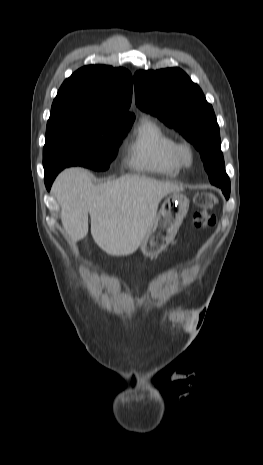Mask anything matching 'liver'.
I'll return each mask as SVG.
<instances>
[{"instance_id":"liver-1","label":"liver","mask_w":263,"mask_h":465,"mask_svg":"<svg viewBox=\"0 0 263 465\" xmlns=\"http://www.w3.org/2000/svg\"><path fill=\"white\" fill-rule=\"evenodd\" d=\"M183 186L140 175H125L100 185L85 169H66L56 178L52 192L61 206V220L72 241L88 233L111 256L135 252L155 218L163 197Z\"/></svg>"}]
</instances>
